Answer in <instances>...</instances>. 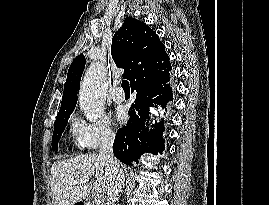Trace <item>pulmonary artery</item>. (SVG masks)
I'll list each match as a JSON object with an SVG mask.
<instances>
[{
	"label": "pulmonary artery",
	"instance_id": "1",
	"mask_svg": "<svg viewBox=\"0 0 269 205\" xmlns=\"http://www.w3.org/2000/svg\"><path fill=\"white\" fill-rule=\"evenodd\" d=\"M112 99L115 102H122L125 99V94L121 87H117L111 94Z\"/></svg>",
	"mask_w": 269,
	"mask_h": 205
}]
</instances>
